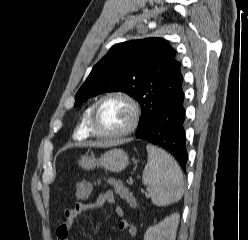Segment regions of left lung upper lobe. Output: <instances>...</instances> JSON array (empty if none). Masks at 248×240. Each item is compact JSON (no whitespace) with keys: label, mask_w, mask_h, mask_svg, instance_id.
Returning a JSON list of instances; mask_svg holds the SVG:
<instances>
[{"label":"left lung upper lobe","mask_w":248,"mask_h":240,"mask_svg":"<svg viewBox=\"0 0 248 240\" xmlns=\"http://www.w3.org/2000/svg\"><path fill=\"white\" fill-rule=\"evenodd\" d=\"M182 83L181 63L167 40L127 41L112 46L93 67L76 94L75 106L99 93L125 92L140 103V132L164 105L184 94Z\"/></svg>","instance_id":"5c2ea615"}]
</instances>
